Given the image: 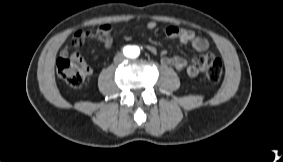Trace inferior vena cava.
<instances>
[{
	"instance_id": "obj_1",
	"label": "inferior vena cava",
	"mask_w": 283,
	"mask_h": 162,
	"mask_svg": "<svg viewBox=\"0 0 283 162\" xmlns=\"http://www.w3.org/2000/svg\"><path fill=\"white\" fill-rule=\"evenodd\" d=\"M125 60V56L121 53L117 54L115 57H114V63L115 64H119L121 62H123Z\"/></svg>"
}]
</instances>
